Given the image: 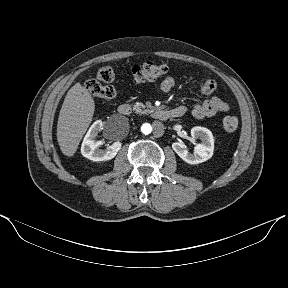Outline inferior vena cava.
I'll list each match as a JSON object with an SVG mask.
<instances>
[{"instance_id": "obj_1", "label": "inferior vena cava", "mask_w": 288, "mask_h": 288, "mask_svg": "<svg viewBox=\"0 0 288 288\" xmlns=\"http://www.w3.org/2000/svg\"><path fill=\"white\" fill-rule=\"evenodd\" d=\"M153 133L160 135L162 133V123L160 121H154L152 123Z\"/></svg>"}]
</instances>
